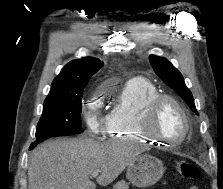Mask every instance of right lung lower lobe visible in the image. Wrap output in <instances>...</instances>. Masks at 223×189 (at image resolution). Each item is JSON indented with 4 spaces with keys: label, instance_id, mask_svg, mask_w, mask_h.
<instances>
[{
    "label": "right lung lower lobe",
    "instance_id": "right-lung-lower-lobe-1",
    "mask_svg": "<svg viewBox=\"0 0 223 189\" xmlns=\"http://www.w3.org/2000/svg\"><path fill=\"white\" fill-rule=\"evenodd\" d=\"M41 142V141H40ZM39 141H35V142H33L32 144H31V146H30V150H32L37 144H39L40 143Z\"/></svg>",
    "mask_w": 223,
    "mask_h": 189
}]
</instances>
